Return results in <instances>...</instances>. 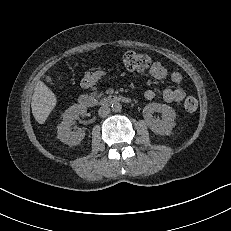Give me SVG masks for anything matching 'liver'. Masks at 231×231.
Instances as JSON below:
<instances>
[{"label":"liver","instance_id":"1","mask_svg":"<svg viewBox=\"0 0 231 231\" xmlns=\"http://www.w3.org/2000/svg\"><path fill=\"white\" fill-rule=\"evenodd\" d=\"M55 106V94L44 82L39 81L35 86L31 102L35 120L40 124H44Z\"/></svg>","mask_w":231,"mask_h":231}]
</instances>
